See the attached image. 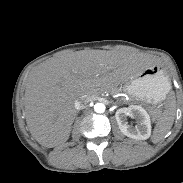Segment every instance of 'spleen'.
I'll return each mask as SVG.
<instances>
[{
	"label": "spleen",
	"mask_w": 183,
	"mask_h": 183,
	"mask_svg": "<svg viewBox=\"0 0 183 183\" xmlns=\"http://www.w3.org/2000/svg\"><path fill=\"white\" fill-rule=\"evenodd\" d=\"M144 80L134 81L133 87L136 88L140 86ZM169 91L171 89V85L168 84ZM175 113H176V103L174 97H169L167 102V107L162 113L159 121L157 122L156 126L154 127L153 135H152V142L158 143L161 141L165 135L170 131V129L173 126V122L175 119Z\"/></svg>",
	"instance_id": "1"
}]
</instances>
